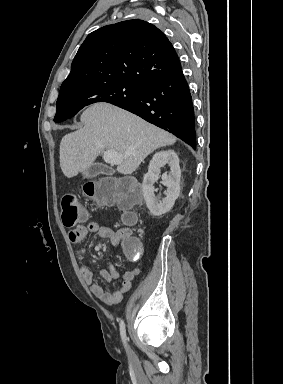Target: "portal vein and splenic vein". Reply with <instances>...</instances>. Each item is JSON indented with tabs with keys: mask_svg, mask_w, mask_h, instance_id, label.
Here are the masks:
<instances>
[{
	"mask_svg": "<svg viewBox=\"0 0 283 384\" xmlns=\"http://www.w3.org/2000/svg\"><path fill=\"white\" fill-rule=\"evenodd\" d=\"M103 158L106 164H121L126 156L119 154V152H115V150H106Z\"/></svg>",
	"mask_w": 283,
	"mask_h": 384,
	"instance_id": "portal-vein-and-splenic-vein-1",
	"label": "portal vein and splenic vein"
}]
</instances>
